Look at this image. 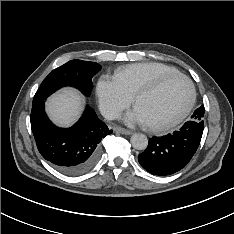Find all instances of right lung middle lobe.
Returning a JSON list of instances; mask_svg holds the SVG:
<instances>
[{
	"label": "right lung middle lobe",
	"instance_id": "right-lung-middle-lobe-1",
	"mask_svg": "<svg viewBox=\"0 0 234 234\" xmlns=\"http://www.w3.org/2000/svg\"><path fill=\"white\" fill-rule=\"evenodd\" d=\"M101 70V66L95 62L71 60L54 69L41 83L37 90L33 104L45 100L59 88L71 86L79 89L84 95L91 94L92 77Z\"/></svg>",
	"mask_w": 234,
	"mask_h": 234
}]
</instances>
